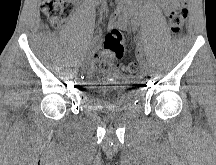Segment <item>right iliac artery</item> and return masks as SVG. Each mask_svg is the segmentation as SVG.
Returning a JSON list of instances; mask_svg holds the SVG:
<instances>
[{
	"label": "right iliac artery",
	"mask_w": 216,
	"mask_h": 165,
	"mask_svg": "<svg viewBox=\"0 0 216 165\" xmlns=\"http://www.w3.org/2000/svg\"><path fill=\"white\" fill-rule=\"evenodd\" d=\"M98 37V36H97ZM96 37V38H97ZM87 48V47H86ZM87 57H88V54L87 53H84L83 56L80 57V60L83 64H86L87 63Z\"/></svg>",
	"instance_id": "obj_1"
}]
</instances>
